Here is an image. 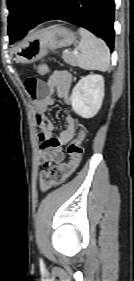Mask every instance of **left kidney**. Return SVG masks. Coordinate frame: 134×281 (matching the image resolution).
I'll list each match as a JSON object with an SVG mask.
<instances>
[{"mask_svg": "<svg viewBox=\"0 0 134 281\" xmlns=\"http://www.w3.org/2000/svg\"><path fill=\"white\" fill-rule=\"evenodd\" d=\"M104 98V78L98 74L82 77L71 94L74 112L83 118L94 117L101 108Z\"/></svg>", "mask_w": 134, "mask_h": 281, "instance_id": "obj_1", "label": "left kidney"}]
</instances>
